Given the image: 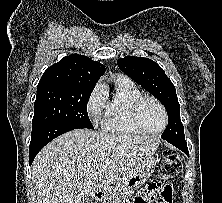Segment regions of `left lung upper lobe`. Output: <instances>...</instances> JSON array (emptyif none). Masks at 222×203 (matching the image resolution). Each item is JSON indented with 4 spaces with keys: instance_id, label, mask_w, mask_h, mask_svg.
<instances>
[{
    "instance_id": "left-lung-upper-lobe-1",
    "label": "left lung upper lobe",
    "mask_w": 222,
    "mask_h": 203,
    "mask_svg": "<svg viewBox=\"0 0 222 203\" xmlns=\"http://www.w3.org/2000/svg\"><path fill=\"white\" fill-rule=\"evenodd\" d=\"M117 65L165 106L168 114V126L161 137L169 141L185 140L176 90L164 70L148 58L134 56H126L117 60Z\"/></svg>"
}]
</instances>
